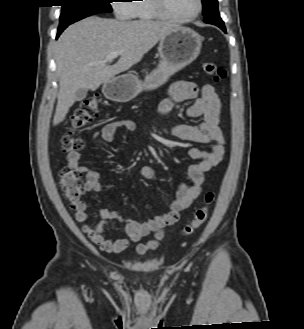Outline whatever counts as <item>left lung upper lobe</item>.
Returning a JSON list of instances; mask_svg holds the SVG:
<instances>
[{
  "label": "left lung upper lobe",
  "mask_w": 304,
  "mask_h": 329,
  "mask_svg": "<svg viewBox=\"0 0 304 329\" xmlns=\"http://www.w3.org/2000/svg\"><path fill=\"white\" fill-rule=\"evenodd\" d=\"M203 3V15L205 16L209 11L212 9L218 7V1L217 0H202Z\"/></svg>",
  "instance_id": "5c2ea615"
}]
</instances>
